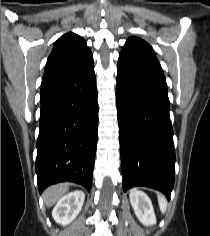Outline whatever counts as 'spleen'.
Here are the masks:
<instances>
[{
    "instance_id": "3e777b00",
    "label": "spleen",
    "mask_w": 210,
    "mask_h": 236,
    "mask_svg": "<svg viewBox=\"0 0 210 236\" xmlns=\"http://www.w3.org/2000/svg\"><path fill=\"white\" fill-rule=\"evenodd\" d=\"M158 203H159L160 210L164 213L167 207L166 199L163 196H158Z\"/></svg>"
}]
</instances>
